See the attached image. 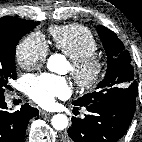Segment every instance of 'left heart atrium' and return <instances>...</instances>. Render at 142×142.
<instances>
[{"label":"left heart atrium","instance_id":"1","mask_svg":"<svg viewBox=\"0 0 142 142\" xmlns=\"http://www.w3.org/2000/svg\"><path fill=\"white\" fill-rule=\"evenodd\" d=\"M27 95L42 106H49L56 98L69 95L70 87L64 77L41 74L28 77L25 81Z\"/></svg>","mask_w":142,"mask_h":142}]
</instances>
